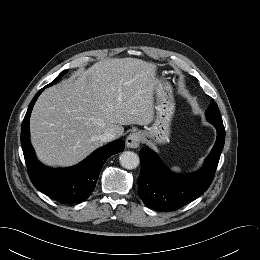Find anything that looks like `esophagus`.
Wrapping results in <instances>:
<instances>
[{"mask_svg":"<svg viewBox=\"0 0 260 260\" xmlns=\"http://www.w3.org/2000/svg\"><path fill=\"white\" fill-rule=\"evenodd\" d=\"M142 140V134L140 132L130 133L126 138V145L128 148H138Z\"/></svg>","mask_w":260,"mask_h":260,"instance_id":"1","label":"esophagus"}]
</instances>
